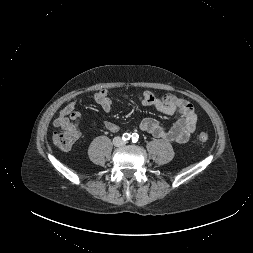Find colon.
<instances>
[{
    "label": "colon",
    "instance_id": "colon-1",
    "mask_svg": "<svg viewBox=\"0 0 253 253\" xmlns=\"http://www.w3.org/2000/svg\"><path fill=\"white\" fill-rule=\"evenodd\" d=\"M200 142L208 140V134L206 132H200L198 135ZM54 144L63 150L70 149L75 142L74 135L69 130L63 129L62 131L55 132L53 135Z\"/></svg>",
    "mask_w": 253,
    "mask_h": 253
}]
</instances>
